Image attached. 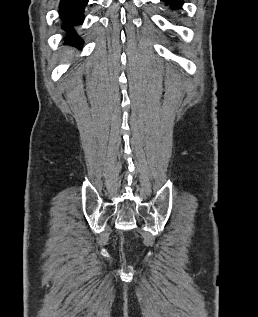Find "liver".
<instances>
[{"mask_svg": "<svg viewBox=\"0 0 258 317\" xmlns=\"http://www.w3.org/2000/svg\"><path fill=\"white\" fill-rule=\"evenodd\" d=\"M72 56V50L70 52H67V56H64L63 60H68V58H71Z\"/></svg>", "mask_w": 258, "mask_h": 317, "instance_id": "liver-1", "label": "liver"}]
</instances>
